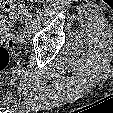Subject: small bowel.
<instances>
[{
	"instance_id": "small-bowel-1",
	"label": "small bowel",
	"mask_w": 113,
	"mask_h": 113,
	"mask_svg": "<svg viewBox=\"0 0 113 113\" xmlns=\"http://www.w3.org/2000/svg\"><path fill=\"white\" fill-rule=\"evenodd\" d=\"M2 21V22H1ZM9 22L6 18H4L2 15L0 16V41L3 39L1 38V31L4 30V28L8 27Z\"/></svg>"
}]
</instances>
